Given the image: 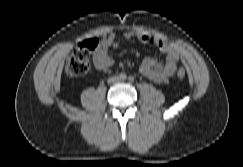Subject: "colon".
Here are the masks:
<instances>
[{"mask_svg":"<svg viewBox=\"0 0 243 167\" xmlns=\"http://www.w3.org/2000/svg\"><path fill=\"white\" fill-rule=\"evenodd\" d=\"M101 40L97 37H92L80 42L66 63V73L69 76H81L88 72L91 64L92 54L98 49ZM186 76L184 69H179L177 77L183 79Z\"/></svg>","mask_w":243,"mask_h":167,"instance_id":"1","label":"colon"}]
</instances>
